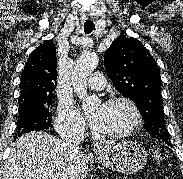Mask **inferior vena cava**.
<instances>
[{
  "label": "inferior vena cava",
  "mask_w": 183,
  "mask_h": 179,
  "mask_svg": "<svg viewBox=\"0 0 183 179\" xmlns=\"http://www.w3.org/2000/svg\"><path fill=\"white\" fill-rule=\"evenodd\" d=\"M61 138L70 156L75 158L79 153L80 142L83 140V131L81 129H74L62 134Z\"/></svg>",
  "instance_id": "obj_1"
}]
</instances>
